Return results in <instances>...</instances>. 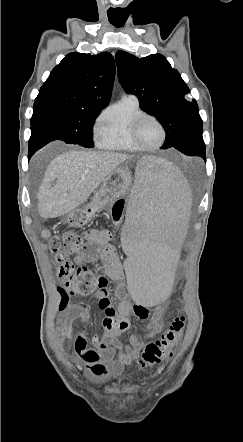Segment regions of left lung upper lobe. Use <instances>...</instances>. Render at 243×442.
<instances>
[{
	"label": "left lung upper lobe",
	"mask_w": 243,
	"mask_h": 442,
	"mask_svg": "<svg viewBox=\"0 0 243 442\" xmlns=\"http://www.w3.org/2000/svg\"><path fill=\"white\" fill-rule=\"evenodd\" d=\"M115 59L124 90L135 94L140 108L155 116L164 127L166 139L162 149L176 148L202 134L203 122L197 102L186 100L190 92L188 86L163 55L139 59L120 50Z\"/></svg>",
	"instance_id": "left-lung-upper-lobe-1"
}]
</instances>
